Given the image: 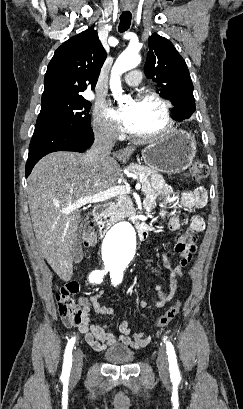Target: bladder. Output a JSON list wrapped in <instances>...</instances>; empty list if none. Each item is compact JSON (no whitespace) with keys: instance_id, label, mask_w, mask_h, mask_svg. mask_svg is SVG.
I'll use <instances>...</instances> for the list:
<instances>
[{"instance_id":"bladder-1","label":"bladder","mask_w":243,"mask_h":409,"mask_svg":"<svg viewBox=\"0 0 243 409\" xmlns=\"http://www.w3.org/2000/svg\"><path fill=\"white\" fill-rule=\"evenodd\" d=\"M104 359L114 365L130 364L135 359V353L132 349L124 345H114L104 351Z\"/></svg>"}]
</instances>
